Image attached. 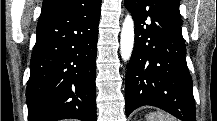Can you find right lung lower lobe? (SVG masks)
Listing matches in <instances>:
<instances>
[{
	"label": "right lung lower lobe",
	"instance_id": "right-lung-lower-lobe-1",
	"mask_svg": "<svg viewBox=\"0 0 217 121\" xmlns=\"http://www.w3.org/2000/svg\"><path fill=\"white\" fill-rule=\"evenodd\" d=\"M101 0L42 12L26 90L29 121H96Z\"/></svg>",
	"mask_w": 217,
	"mask_h": 121
}]
</instances>
